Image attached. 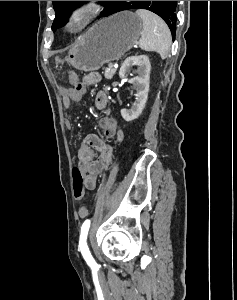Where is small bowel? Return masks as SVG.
<instances>
[{
    "instance_id": "obj_1",
    "label": "small bowel",
    "mask_w": 237,
    "mask_h": 300,
    "mask_svg": "<svg viewBox=\"0 0 237 300\" xmlns=\"http://www.w3.org/2000/svg\"><path fill=\"white\" fill-rule=\"evenodd\" d=\"M71 84L82 83L84 87L92 86L102 81V76L97 72L88 73L82 82L75 73L70 74ZM61 96L66 109L79 101L83 95H78L73 88H62ZM95 106L103 112L99 118L98 124L103 131V139L96 134H88L76 151L79 161L78 169L84 175L85 186L89 190L96 187L98 177L107 169L112 162L113 147L111 142L121 143L124 139V133L117 120L110 116V106L107 95L104 92H98L95 96ZM68 129L73 128L71 120L66 121ZM98 152V155L97 153ZM88 210L86 207L79 209V216L86 217Z\"/></svg>"
}]
</instances>
